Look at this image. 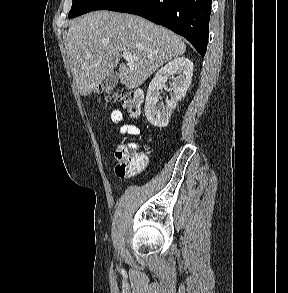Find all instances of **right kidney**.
Wrapping results in <instances>:
<instances>
[{
	"label": "right kidney",
	"mask_w": 288,
	"mask_h": 293,
	"mask_svg": "<svg viewBox=\"0 0 288 293\" xmlns=\"http://www.w3.org/2000/svg\"><path fill=\"white\" fill-rule=\"evenodd\" d=\"M174 75H177L174 77ZM193 63L185 57L175 58L162 67L149 84L146 100L145 115L148 121L157 127H166L169 124L171 113L176 108L178 101L185 97L191 84ZM172 78L170 88L173 91L166 100V106L159 107L160 92L166 81Z\"/></svg>",
	"instance_id": "1"
}]
</instances>
